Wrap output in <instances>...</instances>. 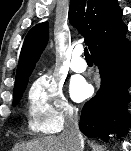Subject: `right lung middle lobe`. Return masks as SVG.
<instances>
[{"mask_svg": "<svg viewBox=\"0 0 131 151\" xmlns=\"http://www.w3.org/2000/svg\"><path fill=\"white\" fill-rule=\"evenodd\" d=\"M26 89V85L20 87L17 90H14V100H13V105H17L23 95V92Z\"/></svg>", "mask_w": 131, "mask_h": 151, "instance_id": "1", "label": "right lung middle lobe"}]
</instances>
